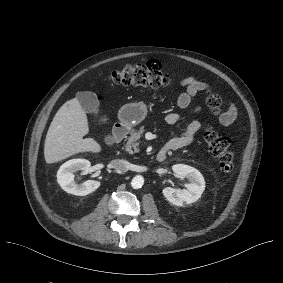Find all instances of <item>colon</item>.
Returning <instances> with one entry per match:
<instances>
[{
	"mask_svg": "<svg viewBox=\"0 0 283 283\" xmlns=\"http://www.w3.org/2000/svg\"><path fill=\"white\" fill-rule=\"evenodd\" d=\"M109 81L124 86L158 88L169 86L172 78L160 62L151 60L145 64H130L116 69L109 74ZM206 102L213 113H218L223 97L218 93H209ZM204 140L209 152L218 160L220 169L224 172L232 171L236 157L230 149L229 138L213 128H207Z\"/></svg>",
	"mask_w": 283,
	"mask_h": 283,
	"instance_id": "colon-1",
	"label": "colon"
}]
</instances>
